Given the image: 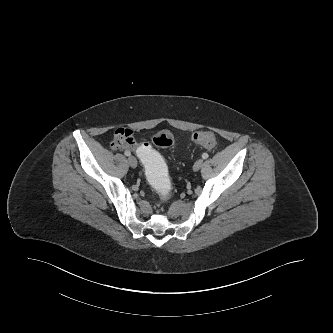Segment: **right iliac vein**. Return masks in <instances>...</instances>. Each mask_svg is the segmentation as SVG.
<instances>
[{"mask_svg": "<svg viewBox=\"0 0 333 333\" xmlns=\"http://www.w3.org/2000/svg\"><path fill=\"white\" fill-rule=\"evenodd\" d=\"M128 163L132 168H136L137 167V160L134 156H130L128 158Z\"/></svg>", "mask_w": 333, "mask_h": 333, "instance_id": "right-iliac-vein-1", "label": "right iliac vein"}]
</instances>
